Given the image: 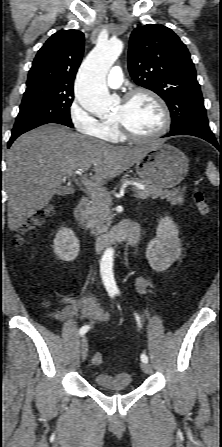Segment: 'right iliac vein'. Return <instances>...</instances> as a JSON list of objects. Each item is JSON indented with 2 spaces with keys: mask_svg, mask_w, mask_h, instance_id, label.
I'll use <instances>...</instances> for the list:
<instances>
[{
  "mask_svg": "<svg viewBox=\"0 0 222 447\" xmlns=\"http://www.w3.org/2000/svg\"><path fill=\"white\" fill-rule=\"evenodd\" d=\"M80 355L81 359L85 361L88 355V340L86 336H83L80 340Z\"/></svg>",
  "mask_w": 222,
  "mask_h": 447,
  "instance_id": "1",
  "label": "right iliac vein"
}]
</instances>
